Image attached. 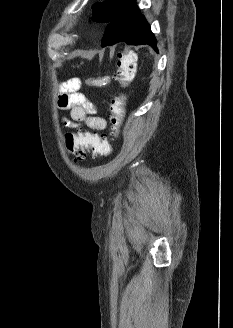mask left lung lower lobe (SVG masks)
Wrapping results in <instances>:
<instances>
[{
	"label": "left lung lower lobe",
	"mask_w": 233,
	"mask_h": 328,
	"mask_svg": "<svg viewBox=\"0 0 233 328\" xmlns=\"http://www.w3.org/2000/svg\"><path fill=\"white\" fill-rule=\"evenodd\" d=\"M120 41H125L130 45L148 44L158 51L150 25L135 5V0H130L109 23L101 40V45L102 47L110 46Z\"/></svg>",
	"instance_id": "obj_1"
}]
</instances>
